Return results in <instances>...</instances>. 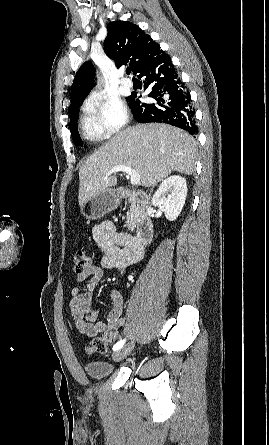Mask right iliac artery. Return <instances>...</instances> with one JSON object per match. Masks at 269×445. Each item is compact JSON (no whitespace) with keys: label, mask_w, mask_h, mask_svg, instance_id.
Returning a JSON list of instances; mask_svg holds the SVG:
<instances>
[{"label":"right iliac artery","mask_w":269,"mask_h":445,"mask_svg":"<svg viewBox=\"0 0 269 445\" xmlns=\"http://www.w3.org/2000/svg\"><path fill=\"white\" fill-rule=\"evenodd\" d=\"M124 343H125V340H121V341L117 342V343L113 346V350H114V351L119 350L120 348L123 347Z\"/></svg>","instance_id":"1"}]
</instances>
